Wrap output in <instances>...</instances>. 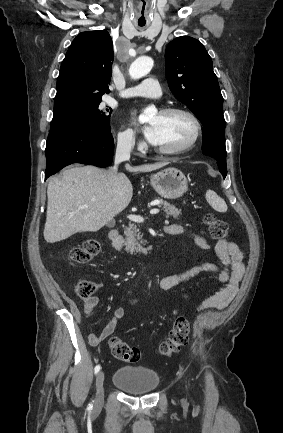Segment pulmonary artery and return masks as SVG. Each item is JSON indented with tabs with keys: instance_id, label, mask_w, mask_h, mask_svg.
Returning <instances> with one entry per match:
<instances>
[{
	"instance_id": "1",
	"label": "pulmonary artery",
	"mask_w": 283,
	"mask_h": 433,
	"mask_svg": "<svg viewBox=\"0 0 283 433\" xmlns=\"http://www.w3.org/2000/svg\"><path fill=\"white\" fill-rule=\"evenodd\" d=\"M159 88L158 80L156 78H147L140 83L130 85L129 89L121 93L119 96L123 98L137 96L156 98L161 96Z\"/></svg>"
}]
</instances>
